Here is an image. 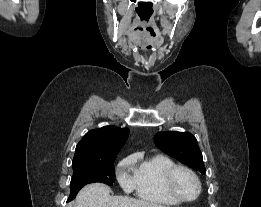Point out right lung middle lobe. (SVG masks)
I'll return each mask as SVG.
<instances>
[{
    "label": "right lung middle lobe",
    "mask_w": 261,
    "mask_h": 207,
    "mask_svg": "<svg viewBox=\"0 0 261 207\" xmlns=\"http://www.w3.org/2000/svg\"><path fill=\"white\" fill-rule=\"evenodd\" d=\"M85 162L73 165V177L70 183V196L68 201L73 200L79 190L86 184L100 182L113 185L115 182L114 161Z\"/></svg>",
    "instance_id": "dd1d6c3e"
}]
</instances>
